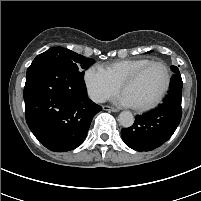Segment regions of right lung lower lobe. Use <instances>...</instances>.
I'll return each mask as SVG.
<instances>
[{
    "instance_id": "obj_1",
    "label": "right lung lower lobe",
    "mask_w": 201,
    "mask_h": 201,
    "mask_svg": "<svg viewBox=\"0 0 201 201\" xmlns=\"http://www.w3.org/2000/svg\"><path fill=\"white\" fill-rule=\"evenodd\" d=\"M24 101L28 127L55 152L78 147L93 116L102 110L88 98L77 70L51 61L32 63L27 69Z\"/></svg>"
}]
</instances>
